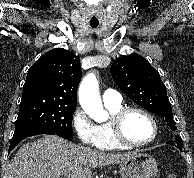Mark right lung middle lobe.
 I'll use <instances>...</instances> for the list:
<instances>
[{"mask_svg":"<svg viewBox=\"0 0 194 178\" xmlns=\"http://www.w3.org/2000/svg\"><path fill=\"white\" fill-rule=\"evenodd\" d=\"M76 103L55 98H29L20 103L15 130L46 128L56 133L73 135L72 116Z\"/></svg>","mask_w":194,"mask_h":178,"instance_id":"obj_1","label":"right lung middle lobe"}]
</instances>
